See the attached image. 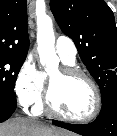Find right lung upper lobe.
Returning <instances> with one entry per match:
<instances>
[{"label": "right lung upper lobe", "instance_id": "obj_1", "mask_svg": "<svg viewBox=\"0 0 117 136\" xmlns=\"http://www.w3.org/2000/svg\"><path fill=\"white\" fill-rule=\"evenodd\" d=\"M28 48L27 0H0V55L26 58Z\"/></svg>", "mask_w": 117, "mask_h": 136}]
</instances>
